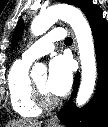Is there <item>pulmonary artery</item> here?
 <instances>
[{"label": "pulmonary artery", "mask_w": 108, "mask_h": 127, "mask_svg": "<svg viewBox=\"0 0 108 127\" xmlns=\"http://www.w3.org/2000/svg\"><path fill=\"white\" fill-rule=\"evenodd\" d=\"M65 37V32L61 28H56L31 45L22 55V59L33 62L36 59L51 53L54 50V42Z\"/></svg>", "instance_id": "obj_1"}]
</instances>
